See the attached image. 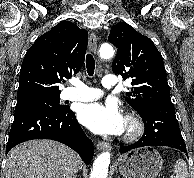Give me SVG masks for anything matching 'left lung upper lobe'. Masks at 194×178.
Masks as SVG:
<instances>
[{
    "label": "left lung upper lobe",
    "instance_id": "1",
    "mask_svg": "<svg viewBox=\"0 0 194 178\" xmlns=\"http://www.w3.org/2000/svg\"><path fill=\"white\" fill-rule=\"evenodd\" d=\"M108 40L117 48L112 70L132 79L125 100L137 112L145 105L172 103L163 59L154 43L130 25L113 26Z\"/></svg>",
    "mask_w": 194,
    "mask_h": 178
}]
</instances>
